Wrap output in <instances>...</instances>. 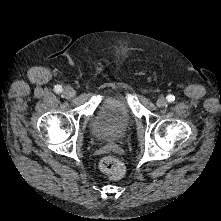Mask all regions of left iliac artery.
Listing matches in <instances>:
<instances>
[{"label":"left iliac artery","mask_w":221,"mask_h":221,"mask_svg":"<svg viewBox=\"0 0 221 221\" xmlns=\"http://www.w3.org/2000/svg\"><path fill=\"white\" fill-rule=\"evenodd\" d=\"M167 100H168V102H172V101L175 100V97L172 96V95H168V96H167Z\"/></svg>","instance_id":"1"}]
</instances>
